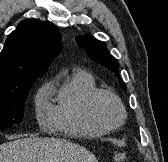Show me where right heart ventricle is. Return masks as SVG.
I'll use <instances>...</instances> for the list:
<instances>
[{"label": "right heart ventricle", "instance_id": "1", "mask_svg": "<svg viewBox=\"0 0 168 162\" xmlns=\"http://www.w3.org/2000/svg\"><path fill=\"white\" fill-rule=\"evenodd\" d=\"M95 90L97 83L91 73L74 70L67 75L56 96L52 124L72 136L95 137L105 134L104 129L92 122L86 110L87 99Z\"/></svg>", "mask_w": 168, "mask_h": 162}]
</instances>
